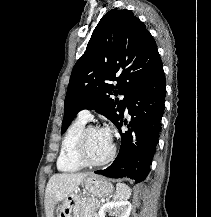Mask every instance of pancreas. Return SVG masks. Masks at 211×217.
<instances>
[{
    "mask_svg": "<svg viewBox=\"0 0 211 217\" xmlns=\"http://www.w3.org/2000/svg\"><path fill=\"white\" fill-rule=\"evenodd\" d=\"M101 206V202L95 198H83L81 201V217H92Z\"/></svg>",
    "mask_w": 211,
    "mask_h": 217,
    "instance_id": "cf45deb5",
    "label": "pancreas"
}]
</instances>
